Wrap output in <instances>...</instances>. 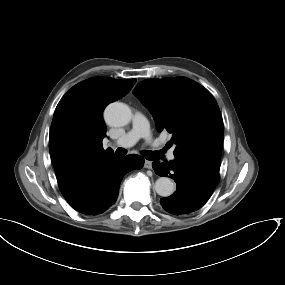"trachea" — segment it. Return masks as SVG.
Masks as SVG:
<instances>
[{"label": "trachea", "instance_id": "3493384b", "mask_svg": "<svg viewBox=\"0 0 285 285\" xmlns=\"http://www.w3.org/2000/svg\"><path fill=\"white\" fill-rule=\"evenodd\" d=\"M166 149V148H165ZM126 150L123 149V148H118L116 150V155L118 157H122L126 154ZM163 154V151H144L142 153V155L147 159V160H155V159H158L162 156Z\"/></svg>", "mask_w": 285, "mask_h": 285}]
</instances>
